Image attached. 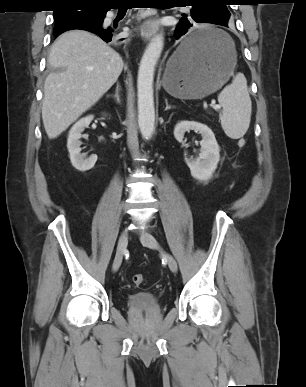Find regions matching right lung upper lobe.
Masks as SVG:
<instances>
[{
  "mask_svg": "<svg viewBox=\"0 0 306 387\" xmlns=\"http://www.w3.org/2000/svg\"><path fill=\"white\" fill-rule=\"evenodd\" d=\"M58 1H59L60 8H67L71 5L80 4L86 7L102 8L104 11H106V10H109V6L113 4L114 0H58ZM70 27H73V26H70Z\"/></svg>",
  "mask_w": 306,
  "mask_h": 387,
  "instance_id": "right-lung-upper-lobe-1",
  "label": "right lung upper lobe"
}]
</instances>
